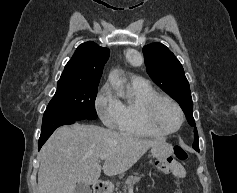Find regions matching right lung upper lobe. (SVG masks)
<instances>
[{
    "label": "right lung upper lobe",
    "instance_id": "obj_1",
    "mask_svg": "<svg viewBox=\"0 0 237 193\" xmlns=\"http://www.w3.org/2000/svg\"><path fill=\"white\" fill-rule=\"evenodd\" d=\"M109 54L108 48L100 47L92 41L79 45L66 64L59 81L99 84Z\"/></svg>",
    "mask_w": 237,
    "mask_h": 193
}]
</instances>
